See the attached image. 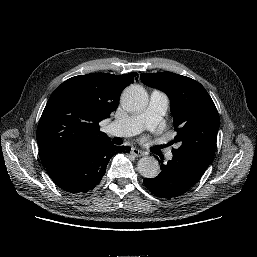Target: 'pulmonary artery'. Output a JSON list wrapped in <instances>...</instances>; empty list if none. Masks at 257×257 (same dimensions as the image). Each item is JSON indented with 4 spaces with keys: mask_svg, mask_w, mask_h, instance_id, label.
<instances>
[{
    "mask_svg": "<svg viewBox=\"0 0 257 257\" xmlns=\"http://www.w3.org/2000/svg\"><path fill=\"white\" fill-rule=\"evenodd\" d=\"M169 107L167 95L159 90L152 91L147 107L140 113L121 119L113 120L108 125V132L115 136H132L140 131L155 127L165 115ZM168 160L173 158V153H166Z\"/></svg>",
    "mask_w": 257,
    "mask_h": 257,
    "instance_id": "obj_1",
    "label": "pulmonary artery"
}]
</instances>
